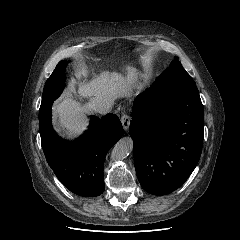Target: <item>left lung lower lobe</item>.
<instances>
[{
  "instance_id": "obj_1",
  "label": "left lung lower lobe",
  "mask_w": 240,
  "mask_h": 240,
  "mask_svg": "<svg viewBox=\"0 0 240 240\" xmlns=\"http://www.w3.org/2000/svg\"><path fill=\"white\" fill-rule=\"evenodd\" d=\"M203 105L196 85L154 83L133 103L129 133L143 189L165 195L195 169L204 138Z\"/></svg>"
}]
</instances>
